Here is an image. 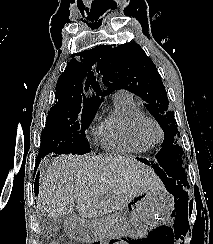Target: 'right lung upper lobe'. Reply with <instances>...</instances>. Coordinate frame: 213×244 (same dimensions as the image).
Here are the masks:
<instances>
[{
    "label": "right lung upper lobe",
    "instance_id": "right-lung-upper-lobe-1",
    "mask_svg": "<svg viewBox=\"0 0 213 244\" xmlns=\"http://www.w3.org/2000/svg\"><path fill=\"white\" fill-rule=\"evenodd\" d=\"M95 60H83L77 62L72 59L68 63L65 71L60 75L55 98L56 104L53 107H63L71 105L87 106L98 108L103 93L96 82L92 66Z\"/></svg>",
    "mask_w": 213,
    "mask_h": 244
}]
</instances>
